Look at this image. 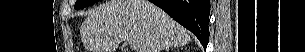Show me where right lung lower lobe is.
<instances>
[{
    "label": "right lung lower lobe",
    "instance_id": "1",
    "mask_svg": "<svg viewBox=\"0 0 305 52\" xmlns=\"http://www.w3.org/2000/svg\"><path fill=\"white\" fill-rule=\"evenodd\" d=\"M193 32L206 49L209 41L210 0H149Z\"/></svg>",
    "mask_w": 305,
    "mask_h": 52
}]
</instances>
